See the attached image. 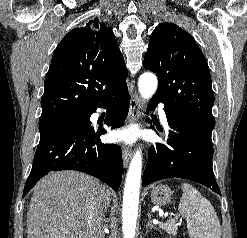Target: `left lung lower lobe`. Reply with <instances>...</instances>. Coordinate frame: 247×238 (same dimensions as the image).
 <instances>
[{
	"instance_id": "1",
	"label": "left lung lower lobe",
	"mask_w": 247,
	"mask_h": 238,
	"mask_svg": "<svg viewBox=\"0 0 247 238\" xmlns=\"http://www.w3.org/2000/svg\"><path fill=\"white\" fill-rule=\"evenodd\" d=\"M159 99L152 98L154 109ZM170 130L167 145L156 143L149 150L142 185L166 178H182L198 182L220 194L212 169V130L200 123L164 109Z\"/></svg>"
}]
</instances>
